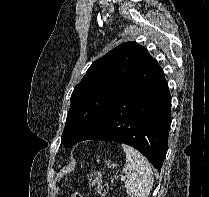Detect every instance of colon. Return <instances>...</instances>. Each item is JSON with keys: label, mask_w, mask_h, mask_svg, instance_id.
Segmentation results:
<instances>
[{"label": "colon", "mask_w": 209, "mask_h": 197, "mask_svg": "<svg viewBox=\"0 0 209 197\" xmlns=\"http://www.w3.org/2000/svg\"><path fill=\"white\" fill-rule=\"evenodd\" d=\"M87 179L91 186L95 188L98 194L104 195L107 190L108 186L104 179V177L98 172H91L87 175ZM71 197H83L80 193L75 192L71 195Z\"/></svg>", "instance_id": "colon-1"}]
</instances>
